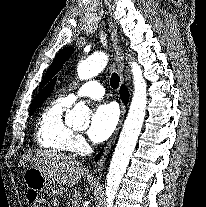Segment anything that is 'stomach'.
<instances>
[{
	"instance_id": "0dacf381",
	"label": "stomach",
	"mask_w": 206,
	"mask_h": 207,
	"mask_svg": "<svg viewBox=\"0 0 206 207\" xmlns=\"http://www.w3.org/2000/svg\"><path fill=\"white\" fill-rule=\"evenodd\" d=\"M22 179L27 188L31 190L52 196L62 193V189L53 180L34 166L26 167Z\"/></svg>"
}]
</instances>
